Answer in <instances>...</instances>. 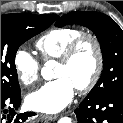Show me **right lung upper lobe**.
Listing matches in <instances>:
<instances>
[{
	"mask_svg": "<svg viewBox=\"0 0 123 123\" xmlns=\"http://www.w3.org/2000/svg\"><path fill=\"white\" fill-rule=\"evenodd\" d=\"M50 15H51V17L53 18L54 21H56L59 18L58 15H55V14H50Z\"/></svg>",
	"mask_w": 123,
	"mask_h": 123,
	"instance_id": "obj_1",
	"label": "right lung upper lobe"
}]
</instances>
